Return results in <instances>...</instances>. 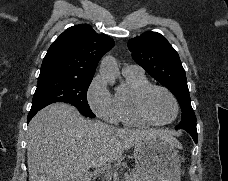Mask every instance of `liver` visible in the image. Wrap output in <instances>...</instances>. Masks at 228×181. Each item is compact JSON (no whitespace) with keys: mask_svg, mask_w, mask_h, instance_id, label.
Here are the masks:
<instances>
[{"mask_svg":"<svg viewBox=\"0 0 228 181\" xmlns=\"http://www.w3.org/2000/svg\"><path fill=\"white\" fill-rule=\"evenodd\" d=\"M29 181H82L89 169L120 161L124 151L149 135H161L182 149L169 131L116 129L101 121H86L75 107L53 103L28 125Z\"/></svg>","mask_w":228,"mask_h":181,"instance_id":"1","label":"liver"}]
</instances>
